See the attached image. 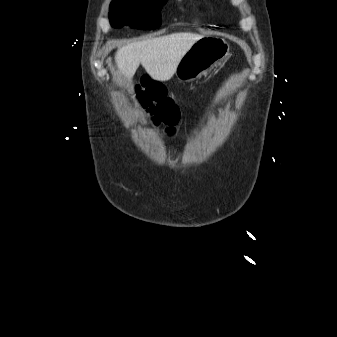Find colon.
Returning a JSON list of instances; mask_svg holds the SVG:
<instances>
[{
	"mask_svg": "<svg viewBox=\"0 0 337 337\" xmlns=\"http://www.w3.org/2000/svg\"><path fill=\"white\" fill-rule=\"evenodd\" d=\"M136 95L141 106L151 115L154 125H164L169 134L179 121V111L164 86L143 76L136 86Z\"/></svg>",
	"mask_w": 337,
	"mask_h": 337,
	"instance_id": "1",
	"label": "colon"
}]
</instances>
